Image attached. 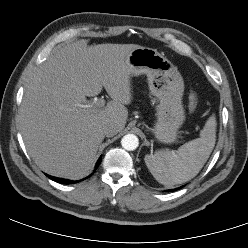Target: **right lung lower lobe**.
Segmentation results:
<instances>
[{
	"instance_id": "right-lung-lower-lobe-1",
	"label": "right lung lower lobe",
	"mask_w": 248,
	"mask_h": 248,
	"mask_svg": "<svg viewBox=\"0 0 248 248\" xmlns=\"http://www.w3.org/2000/svg\"><path fill=\"white\" fill-rule=\"evenodd\" d=\"M101 163V157L98 159L97 163H96V166H95V170L97 169V167L100 165ZM94 170V172H95ZM92 175V174H91ZM90 175V176H91ZM51 180L55 181V182H58V183H61V184H73V183H76L77 181H72V180H68V179H62V178H56V177H53V176H50V175H47ZM89 177V176H88ZM87 177V178H88ZM85 178V179H87Z\"/></svg>"
}]
</instances>
